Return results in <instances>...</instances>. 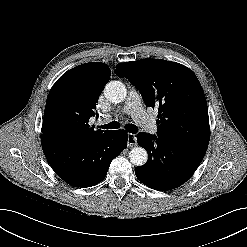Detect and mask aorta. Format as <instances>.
I'll list each match as a JSON object with an SVG mask.
<instances>
[{
  "mask_svg": "<svg viewBox=\"0 0 247 247\" xmlns=\"http://www.w3.org/2000/svg\"><path fill=\"white\" fill-rule=\"evenodd\" d=\"M104 94L107 99L112 103L123 102L127 96V89L120 81H110L104 89ZM130 162L136 166L146 164L148 160L147 151L142 147H134L129 152Z\"/></svg>",
  "mask_w": 247,
  "mask_h": 247,
  "instance_id": "1",
  "label": "aorta"
}]
</instances>
